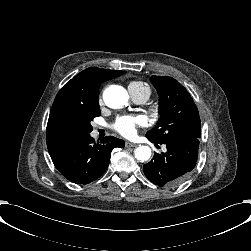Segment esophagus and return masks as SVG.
Wrapping results in <instances>:
<instances>
[{"label":"esophagus","mask_w":251,"mask_h":251,"mask_svg":"<svg viewBox=\"0 0 251 251\" xmlns=\"http://www.w3.org/2000/svg\"><path fill=\"white\" fill-rule=\"evenodd\" d=\"M125 146L128 147V148H130V147H136L137 144L132 143V142H126V143H125Z\"/></svg>","instance_id":"esophagus-1"}]
</instances>
